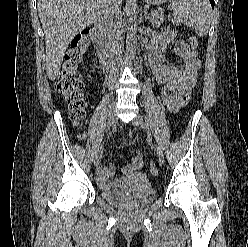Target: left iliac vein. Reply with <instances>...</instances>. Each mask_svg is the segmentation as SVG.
<instances>
[{"instance_id":"4c4485c4","label":"left iliac vein","mask_w":248,"mask_h":247,"mask_svg":"<svg viewBox=\"0 0 248 247\" xmlns=\"http://www.w3.org/2000/svg\"><path fill=\"white\" fill-rule=\"evenodd\" d=\"M133 124L143 129L147 128L146 123L144 122L143 118L140 115H136V117L133 119ZM155 150L160 164H163L164 163L163 151L157 145L155 146Z\"/></svg>"}]
</instances>
